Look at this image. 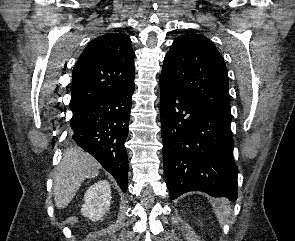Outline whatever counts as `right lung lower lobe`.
<instances>
[{
	"label": "right lung lower lobe",
	"instance_id": "obj_1",
	"mask_svg": "<svg viewBox=\"0 0 295 241\" xmlns=\"http://www.w3.org/2000/svg\"><path fill=\"white\" fill-rule=\"evenodd\" d=\"M135 85L84 99L72 106L70 126L73 140L93 155L127 190L128 158L124 142L128 136L131 96Z\"/></svg>",
	"mask_w": 295,
	"mask_h": 241
}]
</instances>
